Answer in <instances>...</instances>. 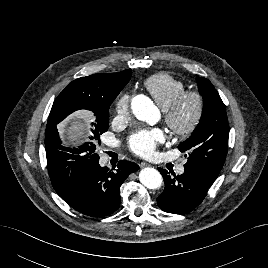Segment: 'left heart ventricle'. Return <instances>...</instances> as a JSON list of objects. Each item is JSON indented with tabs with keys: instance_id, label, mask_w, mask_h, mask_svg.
Returning <instances> with one entry per match:
<instances>
[{
	"instance_id": "left-heart-ventricle-1",
	"label": "left heart ventricle",
	"mask_w": 268,
	"mask_h": 268,
	"mask_svg": "<svg viewBox=\"0 0 268 268\" xmlns=\"http://www.w3.org/2000/svg\"><path fill=\"white\" fill-rule=\"evenodd\" d=\"M193 109H194V102L193 100H188L183 109H182V112H181V119L182 121H187L188 118L191 116L192 112H193Z\"/></svg>"
}]
</instances>
